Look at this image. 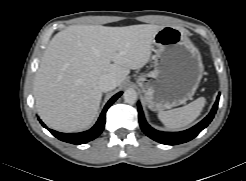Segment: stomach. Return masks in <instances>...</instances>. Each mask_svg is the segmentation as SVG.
<instances>
[{
  "instance_id": "obj_1",
  "label": "stomach",
  "mask_w": 246,
  "mask_h": 181,
  "mask_svg": "<svg viewBox=\"0 0 246 181\" xmlns=\"http://www.w3.org/2000/svg\"><path fill=\"white\" fill-rule=\"evenodd\" d=\"M154 70L138 77L151 110L170 109L191 99L204 74L199 50L182 27L165 26L153 38Z\"/></svg>"
}]
</instances>
